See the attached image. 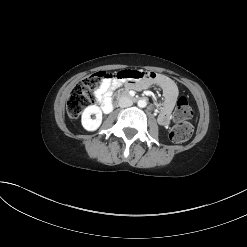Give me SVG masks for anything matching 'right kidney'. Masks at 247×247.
Masks as SVG:
<instances>
[{
  "label": "right kidney",
  "mask_w": 247,
  "mask_h": 247,
  "mask_svg": "<svg viewBox=\"0 0 247 247\" xmlns=\"http://www.w3.org/2000/svg\"><path fill=\"white\" fill-rule=\"evenodd\" d=\"M92 114H95V119L91 118ZM81 122L82 126L87 131L97 130L102 123V111L100 107L96 105H90L86 107L82 113Z\"/></svg>",
  "instance_id": "1"
}]
</instances>
